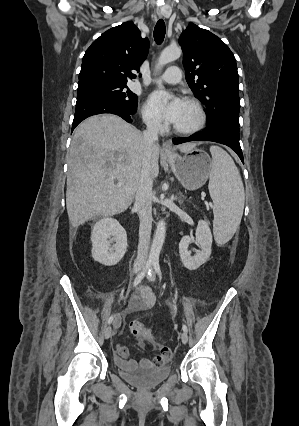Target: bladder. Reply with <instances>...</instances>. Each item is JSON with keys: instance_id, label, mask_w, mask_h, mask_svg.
Returning a JSON list of instances; mask_svg holds the SVG:
<instances>
[{"instance_id": "1", "label": "bladder", "mask_w": 299, "mask_h": 426, "mask_svg": "<svg viewBox=\"0 0 299 426\" xmlns=\"http://www.w3.org/2000/svg\"><path fill=\"white\" fill-rule=\"evenodd\" d=\"M170 373L171 368L167 365L137 370H118V375L123 380L142 390H148L159 386L169 377Z\"/></svg>"}]
</instances>
